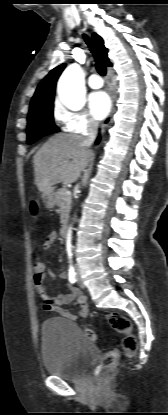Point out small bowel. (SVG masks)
<instances>
[{"label": "small bowel", "mask_w": 168, "mask_h": 415, "mask_svg": "<svg viewBox=\"0 0 168 415\" xmlns=\"http://www.w3.org/2000/svg\"><path fill=\"white\" fill-rule=\"evenodd\" d=\"M56 240L57 235L55 233H50L44 241L42 248L44 250L50 249L51 246L56 242ZM44 270L45 275H47L49 280L53 282L56 279L55 273L52 270L48 269L46 266L44 267ZM59 278L68 285V291L65 293H61L56 297L49 296L43 281L41 283H34L35 288L43 302L44 309L47 311L55 312L61 317L70 321H77L80 318H86L88 315V305L86 297L82 294V292L79 289L69 284V275L67 272H60ZM70 304L75 305L79 309L78 315L73 314L69 311L67 305Z\"/></svg>", "instance_id": "1"}]
</instances>
